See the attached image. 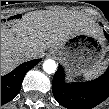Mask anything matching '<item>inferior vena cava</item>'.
I'll list each match as a JSON object with an SVG mask.
<instances>
[{
  "mask_svg": "<svg viewBox=\"0 0 109 109\" xmlns=\"http://www.w3.org/2000/svg\"><path fill=\"white\" fill-rule=\"evenodd\" d=\"M21 56L24 60H29L34 58V53L31 50H24L21 52Z\"/></svg>",
  "mask_w": 109,
  "mask_h": 109,
  "instance_id": "inferior-vena-cava-1",
  "label": "inferior vena cava"
}]
</instances>
